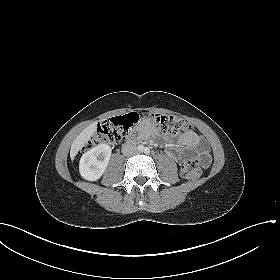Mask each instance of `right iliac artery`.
<instances>
[{
  "mask_svg": "<svg viewBox=\"0 0 280 280\" xmlns=\"http://www.w3.org/2000/svg\"><path fill=\"white\" fill-rule=\"evenodd\" d=\"M138 150H139V151H143V150H144V147H143L142 145H139V146H138Z\"/></svg>",
  "mask_w": 280,
  "mask_h": 280,
  "instance_id": "1",
  "label": "right iliac artery"
}]
</instances>
